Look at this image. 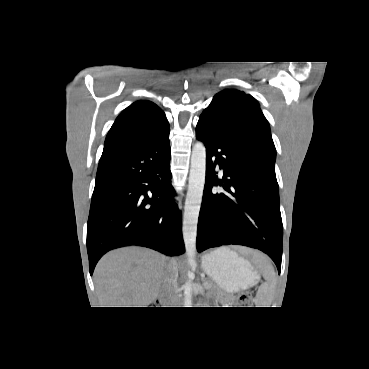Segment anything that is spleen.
Segmentation results:
<instances>
[{"label":"spleen","instance_id":"spleen-1","mask_svg":"<svg viewBox=\"0 0 369 369\" xmlns=\"http://www.w3.org/2000/svg\"><path fill=\"white\" fill-rule=\"evenodd\" d=\"M259 264L260 268L263 271V276L266 280L264 284H262L257 292V302L259 305H263L261 307H268L271 304L272 292L274 289L275 283V272L273 267L266 263L263 260L262 256L254 257Z\"/></svg>","mask_w":369,"mask_h":369}]
</instances>
